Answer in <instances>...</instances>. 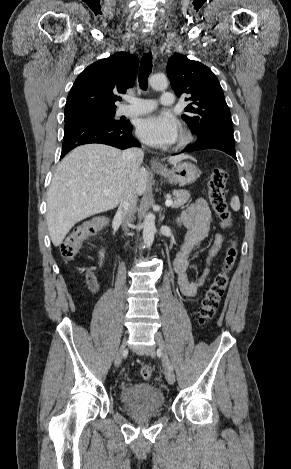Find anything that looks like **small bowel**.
<instances>
[{
    "mask_svg": "<svg viewBox=\"0 0 291 469\" xmlns=\"http://www.w3.org/2000/svg\"><path fill=\"white\" fill-rule=\"evenodd\" d=\"M179 222L187 228V233L180 251L174 260V270L177 275L180 291L184 296L192 298L198 294L199 289L205 284L210 273V264L221 250L225 237L222 234L216 235L204 272L198 280H195L187 274V257L195 244L204 239L208 234L211 214L206 201L201 198L188 206L181 214ZM221 227L224 228L225 225L221 223ZM87 281L90 290L96 291L98 285L94 277L89 275Z\"/></svg>",
    "mask_w": 291,
    "mask_h": 469,
    "instance_id": "obj_1",
    "label": "small bowel"
}]
</instances>
